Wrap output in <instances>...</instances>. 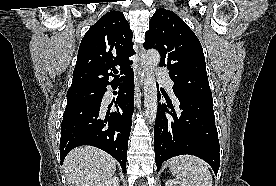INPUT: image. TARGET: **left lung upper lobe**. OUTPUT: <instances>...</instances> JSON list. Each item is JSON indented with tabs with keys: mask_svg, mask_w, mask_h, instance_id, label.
<instances>
[{
	"mask_svg": "<svg viewBox=\"0 0 276 186\" xmlns=\"http://www.w3.org/2000/svg\"><path fill=\"white\" fill-rule=\"evenodd\" d=\"M143 46L160 52V66H167L176 96L212 98L201 44L174 12L156 10Z\"/></svg>",
	"mask_w": 276,
	"mask_h": 186,
	"instance_id": "5c2ea615",
	"label": "left lung upper lobe"
}]
</instances>
